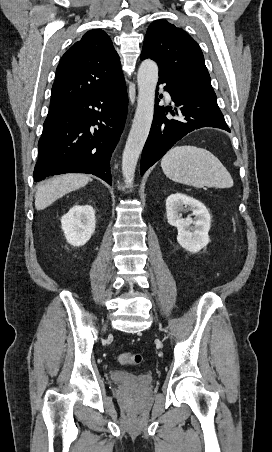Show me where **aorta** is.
Returning a JSON list of instances; mask_svg holds the SVG:
<instances>
[{"mask_svg":"<svg viewBox=\"0 0 272 452\" xmlns=\"http://www.w3.org/2000/svg\"><path fill=\"white\" fill-rule=\"evenodd\" d=\"M157 82V64L150 59L142 61L137 74L136 113L122 156V172L127 187L133 185L136 165L151 128Z\"/></svg>","mask_w":272,"mask_h":452,"instance_id":"762f6f07","label":"aorta"}]
</instances>
